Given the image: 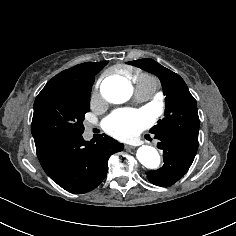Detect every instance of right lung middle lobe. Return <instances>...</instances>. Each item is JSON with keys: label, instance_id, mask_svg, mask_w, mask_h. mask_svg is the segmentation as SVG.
Returning <instances> with one entry per match:
<instances>
[{"label": "right lung middle lobe", "instance_id": "right-lung-middle-lobe-1", "mask_svg": "<svg viewBox=\"0 0 236 236\" xmlns=\"http://www.w3.org/2000/svg\"><path fill=\"white\" fill-rule=\"evenodd\" d=\"M91 92H40L34 102L31 131L35 141L52 136L81 135L90 111Z\"/></svg>", "mask_w": 236, "mask_h": 236}]
</instances>
